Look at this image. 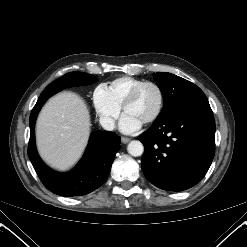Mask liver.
Instances as JSON below:
<instances>
[{
    "label": "liver",
    "instance_id": "obj_1",
    "mask_svg": "<svg viewBox=\"0 0 247 247\" xmlns=\"http://www.w3.org/2000/svg\"><path fill=\"white\" fill-rule=\"evenodd\" d=\"M90 114L84 100L75 93L52 97L41 110L37 125V146L52 167L65 170L81 156L90 133Z\"/></svg>",
    "mask_w": 247,
    "mask_h": 247
}]
</instances>
